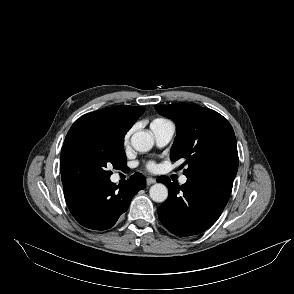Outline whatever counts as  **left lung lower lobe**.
<instances>
[{
    "mask_svg": "<svg viewBox=\"0 0 294 294\" xmlns=\"http://www.w3.org/2000/svg\"><path fill=\"white\" fill-rule=\"evenodd\" d=\"M234 158V155L226 157L201 175L187 177L181 186L166 176L158 178L169 189L168 199L158 208V216L170 232L192 236L215 223L228 202L237 172Z\"/></svg>",
    "mask_w": 294,
    "mask_h": 294,
    "instance_id": "left-lung-lower-lobe-1",
    "label": "left lung lower lobe"
}]
</instances>
